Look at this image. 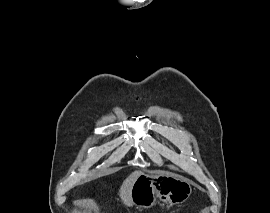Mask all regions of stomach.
<instances>
[{
    "label": "stomach",
    "instance_id": "0dacf381",
    "mask_svg": "<svg viewBox=\"0 0 270 213\" xmlns=\"http://www.w3.org/2000/svg\"><path fill=\"white\" fill-rule=\"evenodd\" d=\"M190 182L163 171L141 174L132 187L133 204L139 209L152 208L157 200L170 205L185 202L191 195Z\"/></svg>",
    "mask_w": 270,
    "mask_h": 213
}]
</instances>
